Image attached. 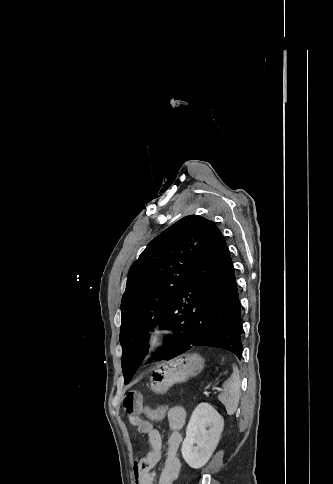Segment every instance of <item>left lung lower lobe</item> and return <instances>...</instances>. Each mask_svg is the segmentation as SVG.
<instances>
[{
  "label": "left lung lower lobe",
  "mask_w": 333,
  "mask_h": 484,
  "mask_svg": "<svg viewBox=\"0 0 333 484\" xmlns=\"http://www.w3.org/2000/svg\"><path fill=\"white\" fill-rule=\"evenodd\" d=\"M160 328L175 331L158 355L179 356L193 346H212L242 355L241 304L225 239L212 223L174 290Z\"/></svg>",
  "instance_id": "obj_1"
}]
</instances>
